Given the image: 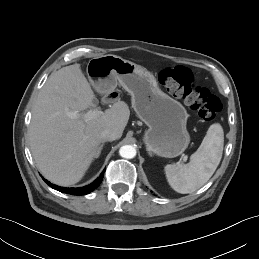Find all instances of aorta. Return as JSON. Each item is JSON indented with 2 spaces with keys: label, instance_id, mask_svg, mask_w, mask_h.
Returning <instances> with one entry per match:
<instances>
[{
  "label": "aorta",
  "instance_id": "762f6f07",
  "mask_svg": "<svg viewBox=\"0 0 259 259\" xmlns=\"http://www.w3.org/2000/svg\"><path fill=\"white\" fill-rule=\"evenodd\" d=\"M121 157L126 159H132L136 155V149L132 145H124L119 149Z\"/></svg>",
  "mask_w": 259,
  "mask_h": 259
}]
</instances>
